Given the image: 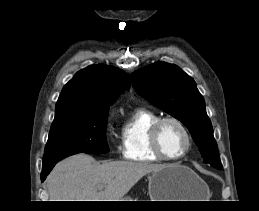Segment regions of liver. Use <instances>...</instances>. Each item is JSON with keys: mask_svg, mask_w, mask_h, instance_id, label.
<instances>
[{"mask_svg": "<svg viewBox=\"0 0 259 211\" xmlns=\"http://www.w3.org/2000/svg\"><path fill=\"white\" fill-rule=\"evenodd\" d=\"M161 164L133 161L97 163L88 154H76L59 162L47 177L50 201H122L146 174Z\"/></svg>", "mask_w": 259, "mask_h": 211, "instance_id": "liver-1", "label": "liver"}]
</instances>
